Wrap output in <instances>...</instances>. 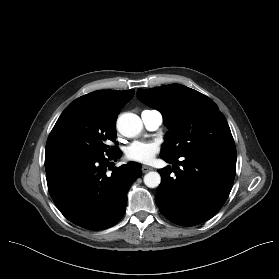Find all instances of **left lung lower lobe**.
<instances>
[{"instance_id": "1", "label": "left lung lower lobe", "mask_w": 279, "mask_h": 279, "mask_svg": "<svg viewBox=\"0 0 279 279\" xmlns=\"http://www.w3.org/2000/svg\"><path fill=\"white\" fill-rule=\"evenodd\" d=\"M181 157V161L161 157L176 165L158 171L161 184L155 199L167 219L181 226H194L212 218L225 203L234 182L236 150H199Z\"/></svg>"}]
</instances>
